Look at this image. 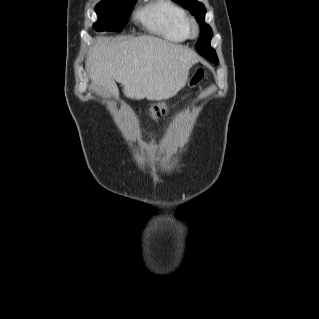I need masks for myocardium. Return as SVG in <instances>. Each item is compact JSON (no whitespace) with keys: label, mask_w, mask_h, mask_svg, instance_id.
<instances>
[{"label":"myocardium","mask_w":319,"mask_h":319,"mask_svg":"<svg viewBox=\"0 0 319 319\" xmlns=\"http://www.w3.org/2000/svg\"><path fill=\"white\" fill-rule=\"evenodd\" d=\"M186 32L190 37H196L199 33L198 25L194 19H187L186 22Z\"/></svg>","instance_id":"f54148a6"}]
</instances>
